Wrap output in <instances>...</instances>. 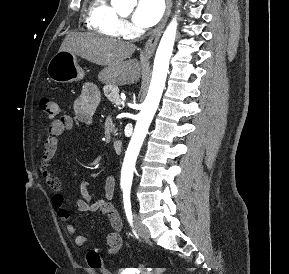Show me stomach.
<instances>
[{"label":"stomach","instance_id":"0dacf381","mask_svg":"<svg viewBox=\"0 0 289 274\" xmlns=\"http://www.w3.org/2000/svg\"><path fill=\"white\" fill-rule=\"evenodd\" d=\"M48 77L59 83H72L84 77V71L79 66L77 55L69 51H59L48 63Z\"/></svg>","mask_w":289,"mask_h":274}]
</instances>
